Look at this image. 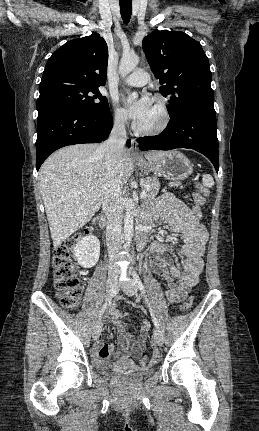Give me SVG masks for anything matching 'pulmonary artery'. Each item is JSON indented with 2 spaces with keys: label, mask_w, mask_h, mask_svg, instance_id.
I'll list each match as a JSON object with an SVG mask.
<instances>
[{
  "label": "pulmonary artery",
  "mask_w": 259,
  "mask_h": 431,
  "mask_svg": "<svg viewBox=\"0 0 259 431\" xmlns=\"http://www.w3.org/2000/svg\"><path fill=\"white\" fill-rule=\"evenodd\" d=\"M148 82V74L143 69H136L123 83L129 86H143Z\"/></svg>",
  "instance_id": "obj_1"
}]
</instances>
